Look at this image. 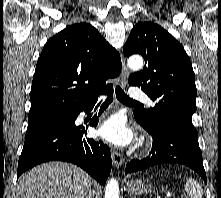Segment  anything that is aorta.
<instances>
[{
	"label": "aorta",
	"mask_w": 221,
	"mask_h": 198,
	"mask_svg": "<svg viewBox=\"0 0 221 198\" xmlns=\"http://www.w3.org/2000/svg\"><path fill=\"white\" fill-rule=\"evenodd\" d=\"M128 66L138 70L143 66V59L140 56H132L128 59ZM105 198H119V186L115 178H111L105 188Z\"/></svg>",
	"instance_id": "obj_1"
}]
</instances>
